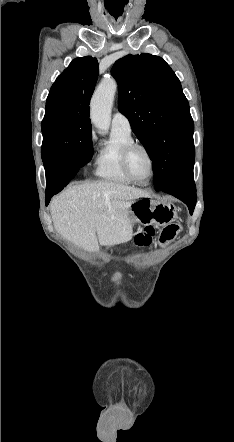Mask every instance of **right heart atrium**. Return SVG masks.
Returning <instances> with one entry per match:
<instances>
[{
  "label": "right heart atrium",
  "mask_w": 234,
  "mask_h": 442,
  "mask_svg": "<svg viewBox=\"0 0 234 442\" xmlns=\"http://www.w3.org/2000/svg\"><path fill=\"white\" fill-rule=\"evenodd\" d=\"M95 140V138H94V136L92 137V141H94Z\"/></svg>",
  "instance_id": "obj_1"
}]
</instances>
